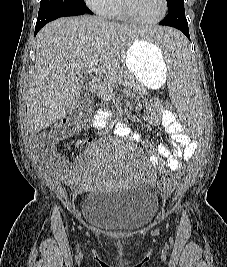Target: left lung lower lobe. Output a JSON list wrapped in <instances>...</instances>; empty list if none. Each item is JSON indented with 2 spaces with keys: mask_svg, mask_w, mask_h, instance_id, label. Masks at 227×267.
Segmentation results:
<instances>
[{
  "mask_svg": "<svg viewBox=\"0 0 227 267\" xmlns=\"http://www.w3.org/2000/svg\"><path fill=\"white\" fill-rule=\"evenodd\" d=\"M163 26H170L180 30L190 40L189 28L185 17L184 5L169 10L167 16L159 23ZM178 53V48H177Z\"/></svg>",
  "mask_w": 227,
  "mask_h": 267,
  "instance_id": "1",
  "label": "left lung lower lobe"
}]
</instances>
